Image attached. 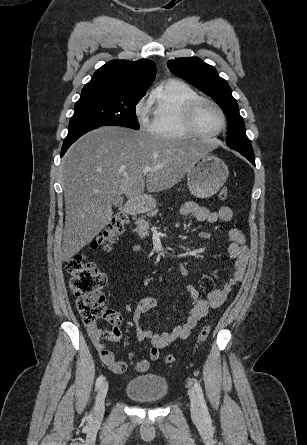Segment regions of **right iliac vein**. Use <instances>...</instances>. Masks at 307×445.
<instances>
[{
  "instance_id": "1",
  "label": "right iliac vein",
  "mask_w": 307,
  "mask_h": 445,
  "mask_svg": "<svg viewBox=\"0 0 307 445\" xmlns=\"http://www.w3.org/2000/svg\"><path fill=\"white\" fill-rule=\"evenodd\" d=\"M108 391V382L105 381L101 384L97 397L95 402V408H94V419L100 420L105 411V398Z\"/></svg>"
}]
</instances>
